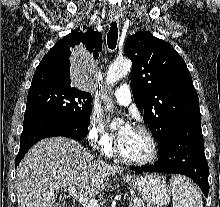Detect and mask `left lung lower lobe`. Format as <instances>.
Segmentation results:
<instances>
[{
    "instance_id": "0a47b994",
    "label": "left lung lower lobe",
    "mask_w": 220,
    "mask_h": 207,
    "mask_svg": "<svg viewBox=\"0 0 220 207\" xmlns=\"http://www.w3.org/2000/svg\"><path fill=\"white\" fill-rule=\"evenodd\" d=\"M158 162L145 167H134L136 172H166L182 174L193 179L208 196V163L204 153L201 118L177 124L159 142Z\"/></svg>"
}]
</instances>
